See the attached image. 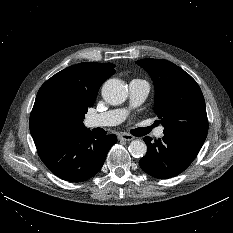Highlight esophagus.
<instances>
[{
    "instance_id": "obj_1",
    "label": "esophagus",
    "mask_w": 233,
    "mask_h": 233,
    "mask_svg": "<svg viewBox=\"0 0 233 233\" xmlns=\"http://www.w3.org/2000/svg\"><path fill=\"white\" fill-rule=\"evenodd\" d=\"M134 139H135V137L132 136V135H129V134L123 133V134L119 135V140H121V141H131V140H134Z\"/></svg>"
}]
</instances>
